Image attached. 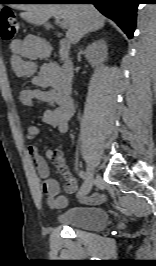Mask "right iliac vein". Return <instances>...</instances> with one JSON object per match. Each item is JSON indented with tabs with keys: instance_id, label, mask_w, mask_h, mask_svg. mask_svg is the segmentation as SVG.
Segmentation results:
<instances>
[{
	"instance_id": "right-iliac-vein-1",
	"label": "right iliac vein",
	"mask_w": 156,
	"mask_h": 266,
	"mask_svg": "<svg viewBox=\"0 0 156 266\" xmlns=\"http://www.w3.org/2000/svg\"><path fill=\"white\" fill-rule=\"evenodd\" d=\"M86 174L87 176L85 179V189L81 195L88 194L92 189V186L94 183V177H95V172L92 166L88 165Z\"/></svg>"
}]
</instances>
